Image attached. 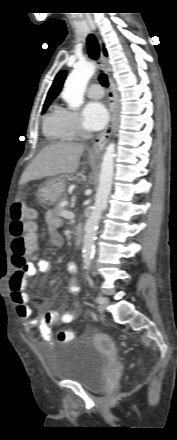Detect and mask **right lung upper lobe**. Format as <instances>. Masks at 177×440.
Here are the masks:
<instances>
[{
  "instance_id": "right-lung-upper-lobe-1",
  "label": "right lung upper lobe",
  "mask_w": 177,
  "mask_h": 440,
  "mask_svg": "<svg viewBox=\"0 0 177 440\" xmlns=\"http://www.w3.org/2000/svg\"><path fill=\"white\" fill-rule=\"evenodd\" d=\"M104 53L107 54L105 49H104ZM65 78H66V71H61L56 75L54 82L46 97L45 103L47 102L50 103L54 98L58 96L59 92L62 89Z\"/></svg>"
}]
</instances>
